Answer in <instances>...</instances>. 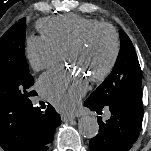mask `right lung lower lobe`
I'll return each mask as SVG.
<instances>
[{"mask_svg": "<svg viewBox=\"0 0 151 151\" xmlns=\"http://www.w3.org/2000/svg\"><path fill=\"white\" fill-rule=\"evenodd\" d=\"M34 134L29 151H47L53 141L54 131L61 124V118L55 109L48 105L45 112L34 108Z\"/></svg>", "mask_w": 151, "mask_h": 151, "instance_id": "right-lung-lower-lobe-1", "label": "right lung lower lobe"}]
</instances>
